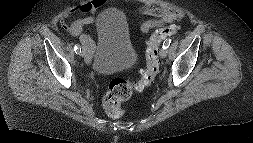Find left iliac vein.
<instances>
[{"mask_svg": "<svg viewBox=\"0 0 253 143\" xmlns=\"http://www.w3.org/2000/svg\"><path fill=\"white\" fill-rule=\"evenodd\" d=\"M167 54H168L167 49H161L160 50V57L161 58H165L167 56Z\"/></svg>", "mask_w": 253, "mask_h": 143, "instance_id": "obj_1", "label": "left iliac vein"}]
</instances>
